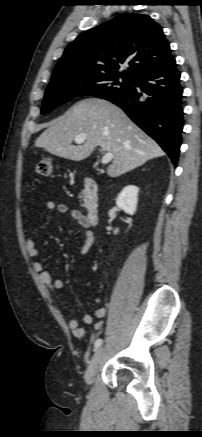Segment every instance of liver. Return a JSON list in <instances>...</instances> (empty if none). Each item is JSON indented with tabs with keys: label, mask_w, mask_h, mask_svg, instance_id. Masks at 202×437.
I'll return each instance as SVG.
<instances>
[{
	"label": "liver",
	"mask_w": 202,
	"mask_h": 437,
	"mask_svg": "<svg viewBox=\"0 0 202 437\" xmlns=\"http://www.w3.org/2000/svg\"><path fill=\"white\" fill-rule=\"evenodd\" d=\"M80 134L86 136L85 141L72 145ZM35 146L73 161L89 157L100 147L113 154L107 168L112 178L164 155L161 147L119 107L96 98L79 101L67 114L51 121L36 139Z\"/></svg>",
	"instance_id": "1"
}]
</instances>
